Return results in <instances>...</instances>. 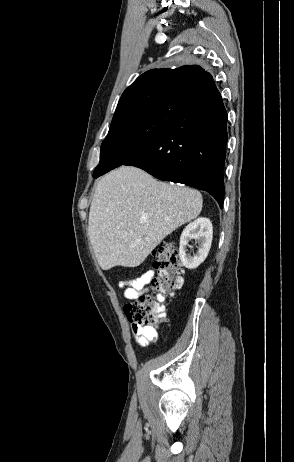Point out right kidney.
<instances>
[{
  "label": "right kidney",
  "mask_w": 294,
  "mask_h": 462,
  "mask_svg": "<svg viewBox=\"0 0 294 462\" xmlns=\"http://www.w3.org/2000/svg\"><path fill=\"white\" fill-rule=\"evenodd\" d=\"M213 236L212 223L208 218H198L188 224L180 237L179 257L187 269H196L207 257ZM198 242V251L191 257L186 254L189 240Z\"/></svg>",
  "instance_id": "1"
}]
</instances>
